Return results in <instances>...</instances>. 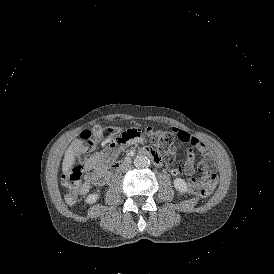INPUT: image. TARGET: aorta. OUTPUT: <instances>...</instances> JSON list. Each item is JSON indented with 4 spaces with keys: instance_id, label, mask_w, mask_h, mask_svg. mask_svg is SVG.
Listing matches in <instances>:
<instances>
[{
    "instance_id": "obj_1",
    "label": "aorta",
    "mask_w": 274,
    "mask_h": 274,
    "mask_svg": "<svg viewBox=\"0 0 274 274\" xmlns=\"http://www.w3.org/2000/svg\"><path fill=\"white\" fill-rule=\"evenodd\" d=\"M134 165L137 168L144 169L150 165V161L146 156L140 155L134 159Z\"/></svg>"
}]
</instances>
